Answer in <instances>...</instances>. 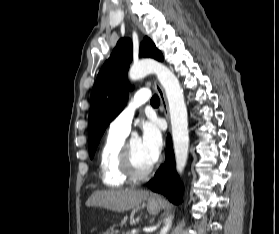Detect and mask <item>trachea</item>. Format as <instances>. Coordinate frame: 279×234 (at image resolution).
<instances>
[{
  "mask_svg": "<svg viewBox=\"0 0 279 234\" xmlns=\"http://www.w3.org/2000/svg\"><path fill=\"white\" fill-rule=\"evenodd\" d=\"M151 104L152 105H158L160 104V100H159V97L157 95H154L152 98H151Z\"/></svg>",
  "mask_w": 279,
  "mask_h": 234,
  "instance_id": "obj_1",
  "label": "trachea"
}]
</instances>
